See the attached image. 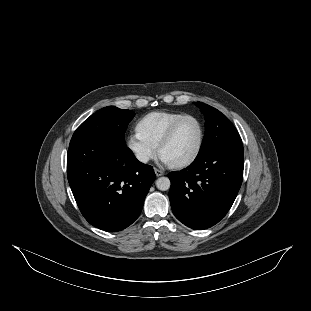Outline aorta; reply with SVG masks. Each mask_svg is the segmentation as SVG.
<instances>
[{"instance_id":"aorta-1","label":"aorta","mask_w":311,"mask_h":311,"mask_svg":"<svg viewBox=\"0 0 311 311\" xmlns=\"http://www.w3.org/2000/svg\"><path fill=\"white\" fill-rule=\"evenodd\" d=\"M156 187L161 191H167L170 189L171 181L168 177H160L156 181Z\"/></svg>"}]
</instances>
